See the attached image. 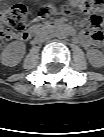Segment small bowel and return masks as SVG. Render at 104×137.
<instances>
[{
    "instance_id": "c3829d8e",
    "label": "small bowel",
    "mask_w": 104,
    "mask_h": 137,
    "mask_svg": "<svg viewBox=\"0 0 104 137\" xmlns=\"http://www.w3.org/2000/svg\"><path fill=\"white\" fill-rule=\"evenodd\" d=\"M21 39H26V35L25 33L22 34L20 36ZM79 41L81 42V44L85 47H91V46H96L97 45V42L94 41V39L91 37V35L86 32V31H82L80 34H79Z\"/></svg>"
}]
</instances>
